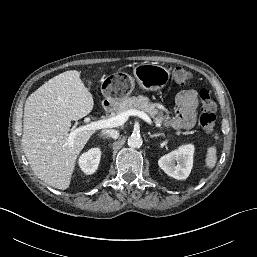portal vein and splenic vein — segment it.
<instances>
[{"label": "portal vein and splenic vein", "instance_id": "obj_1", "mask_svg": "<svg viewBox=\"0 0 257 257\" xmlns=\"http://www.w3.org/2000/svg\"><path fill=\"white\" fill-rule=\"evenodd\" d=\"M130 115L138 116L142 118L144 121H146L148 124L152 125V120L144 111L133 109L126 112H122L116 116H113L107 119L93 121L85 125L79 126L77 128H73L71 129V132L69 134V141H72L74 137L79 132H82V131H86V130L95 131L102 128H111V127L121 126L128 120V117Z\"/></svg>", "mask_w": 257, "mask_h": 257}]
</instances>
